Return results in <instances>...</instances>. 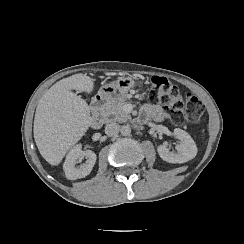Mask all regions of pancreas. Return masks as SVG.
Here are the masks:
<instances>
[{
	"label": "pancreas",
	"mask_w": 244,
	"mask_h": 244,
	"mask_svg": "<svg viewBox=\"0 0 244 244\" xmlns=\"http://www.w3.org/2000/svg\"><path fill=\"white\" fill-rule=\"evenodd\" d=\"M126 104H128L127 97L110 101L104 108L103 114L108 119L113 121L120 123L126 122L127 120L131 119V115L123 109Z\"/></svg>",
	"instance_id": "cf45deb5"
}]
</instances>
